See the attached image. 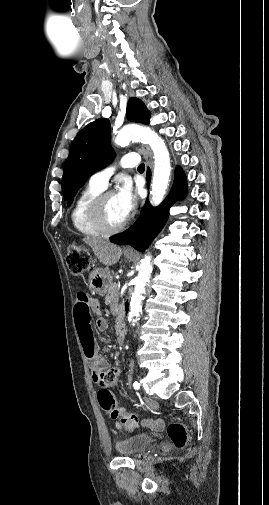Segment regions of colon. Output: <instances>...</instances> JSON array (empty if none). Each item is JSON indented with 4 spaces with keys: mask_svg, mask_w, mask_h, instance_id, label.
Listing matches in <instances>:
<instances>
[{
    "mask_svg": "<svg viewBox=\"0 0 269 505\" xmlns=\"http://www.w3.org/2000/svg\"><path fill=\"white\" fill-rule=\"evenodd\" d=\"M66 261L69 271L75 275L86 272L90 267L89 252L77 243L69 246ZM118 377V370L114 368L100 373L97 382L100 386L98 401L104 411L108 412L112 418L118 419L116 426L119 430L131 432L138 425V417L117 407L111 389L117 385ZM167 433L175 447L183 448L187 444L188 432L184 424L171 422L167 427Z\"/></svg>",
    "mask_w": 269,
    "mask_h": 505,
    "instance_id": "5ec220e1",
    "label": "colon"
}]
</instances>
